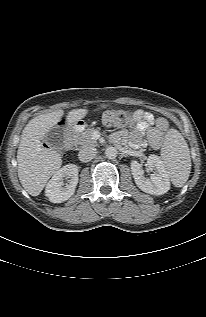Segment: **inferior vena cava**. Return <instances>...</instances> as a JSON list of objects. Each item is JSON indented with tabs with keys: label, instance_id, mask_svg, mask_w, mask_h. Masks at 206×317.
Here are the masks:
<instances>
[{
	"label": "inferior vena cava",
	"instance_id": "obj_1",
	"mask_svg": "<svg viewBox=\"0 0 206 317\" xmlns=\"http://www.w3.org/2000/svg\"><path fill=\"white\" fill-rule=\"evenodd\" d=\"M96 156V149L93 147H84L79 151L78 158L82 162H89Z\"/></svg>",
	"mask_w": 206,
	"mask_h": 317
}]
</instances>
